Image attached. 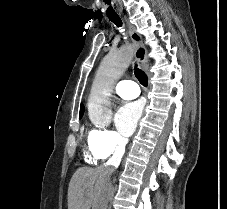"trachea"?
<instances>
[{"label":"trachea","mask_w":227,"mask_h":209,"mask_svg":"<svg viewBox=\"0 0 227 209\" xmlns=\"http://www.w3.org/2000/svg\"><path fill=\"white\" fill-rule=\"evenodd\" d=\"M107 17L112 23L117 25V27L122 26V20L120 19L119 15H117V13H108ZM134 73L137 79L139 80V82L146 87L148 85L147 75L142 70L137 68V66H135Z\"/></svg>","instance_id":"obj_1"}]
</instances>
